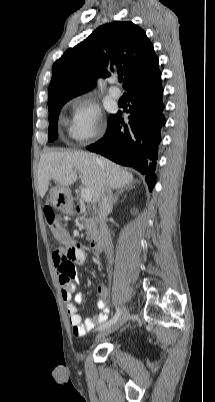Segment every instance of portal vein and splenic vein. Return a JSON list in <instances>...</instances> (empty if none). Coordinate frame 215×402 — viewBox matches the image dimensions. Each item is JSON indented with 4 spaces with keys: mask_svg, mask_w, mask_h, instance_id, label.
I'll return each mask as SVG.
<instances>
[{
    "mask_svg": "<svg viewBox=\"0 0 215 402\" xmlns=\"http://www.w3.org/2000/svg\"><path fill=\"white\" fill-rule=\"evenodd\" d=\"M81 198L86 203H89L92 200V195H91V192H90V190L88 188H82L81 189Z\"/></svg>",
    "mask_w": 215,
    "mask_h": 402,
    "instance_id": "obj_1",
    "label": "portal vein and splenic vein"
}]
</instances>
